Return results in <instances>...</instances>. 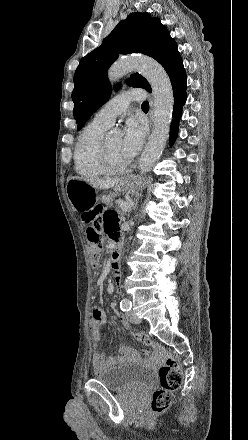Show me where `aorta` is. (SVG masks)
<instances>
[{"mask_svg": "<svg viewBox=\"0 0 248 440\" xmlns=\"http://www.w3.org/2000/svg\"><path fill=\"white\" fill-rule=\"evenodd\" d=\"M132 71H138L147 79L154 96V126L139 161V169L145 174L152 170L166 145L174 95L166 71L149 57H125L117 60L109 69L108 78L110 82H115Z\"/></svg>", "mask_w": 248, "mask_h": 440, "instance_id": "obj_1", "label": "aorta"}]
</instances>
